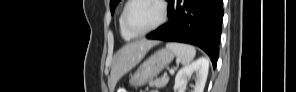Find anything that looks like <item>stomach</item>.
Instances as JSON below:
<instances>
[{
  "label": "stomach",
  "instance_id": "0dacf381",
  "mask_svg": "<svg viewBox=\"0 0 296 92\" xmlns=\"http://www.w3.org/2000/svg\"><path fill=\"white\" fill-rule=\"evenodd\" d=\"M174 58V54L167 48L159 49L146 59L130 79L132 86L138 87L153 80Z\"/></svg>",
  "mask_w": 296,
  "mask_h": 92
}]
</instances>
